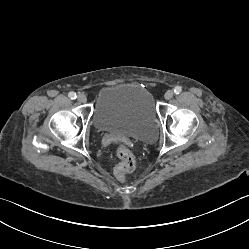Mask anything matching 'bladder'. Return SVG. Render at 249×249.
Wrapping results in <instances>:
<instances>
[{"instance_id":"obj_1","label":"bladder","mask_w":249,"mask_h":249,"mask_svg":"<svg viewBox=\"0 0 249 249\" xmlns=\"http://www.w3.org/2000/svg\"><path fill=\"white\" fill-rule=\"evenodd\" d=\"M92 121L101 132L118 133L144 142H151L157 136L158 117L152 97L131 83L104 87L98 95Z\"/></svg>"}]
</instances>
